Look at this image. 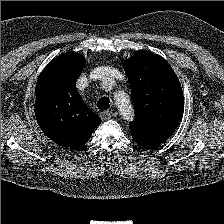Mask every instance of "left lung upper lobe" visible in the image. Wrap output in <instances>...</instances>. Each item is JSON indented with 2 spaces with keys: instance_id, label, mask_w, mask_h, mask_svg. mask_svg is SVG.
<instances>
[{
  "instance_id": "obj_1",
  "label": "left lung upper lobe",
  "mask_w": 224,
  "mask_h": 224,
  "mask_svg": "<svg viewBox=\"0 0 224 224\" xmlns=\"http://www.w3.org/2000/svg\"><path fill=\"white\" fill-rule=\"evenodd\" d=\"M135 105L130 132H139L159 145L178 126L183 111L179 80L167 61L151 52L139 51L124 63Z\"/></svg>"
}]
</instances>
